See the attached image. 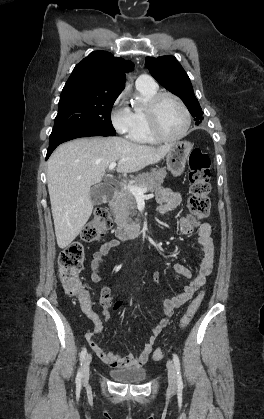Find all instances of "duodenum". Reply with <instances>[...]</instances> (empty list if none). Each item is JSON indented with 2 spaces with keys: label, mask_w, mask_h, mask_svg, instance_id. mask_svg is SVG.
Instances as JSON below:
<instances>
[{
  "label": "duodenum",
  "mask_w": 264,
  "mask_h": 419,
  "mask_svg": "<svg viewBox=\"0 0 264 419\" xmlns=\"http://www.w3.org/2000/svg\"><path fill=\"white\" fill-rule=\"evenodd\" d=\"M119 197V192L114 189L108 196L107 200L109 204H113ZM143 227L140 223H123L116 227L115 235L120 240H127L138 237L142 234Z\"/></svg>",
  "instance_id": "obj_1"
}]
</instances>
